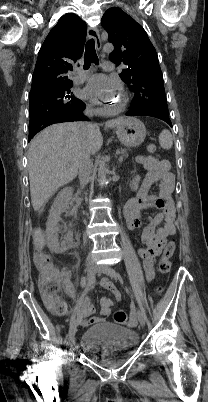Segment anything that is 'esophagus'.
Returning a JSON list of instances; mask_svg holds the SVG:
<instances>
[{
  "label": "esophagus",
  "instance_id": "34e87169",
  "mask_svg": "<svg viewBox=\"0 0 208 402\" xmlns=\"http://www.w3.org/2000/svg\"><path fill=\"white\" fill-rule=\"evenodd\" d=\"M87 36L90 39H94L96 42V47L98 50L101 49V40H100V35H99V31L96 27H89L87 29Z\"/></svg>",
  "mask_w": 208,
  "mask_h": 402
}]
</instances>
